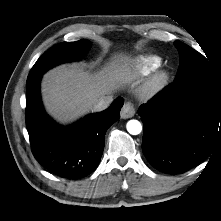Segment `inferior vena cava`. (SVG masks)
I'll list each match as a JSON object with an SVG mask.
<instances>
[{"label": "inferior vena cava", "instance_id": "1", "mask_svg": "<svg viewBox=\"0 0 221 221\" xmlns=\"http://www.w3.org/2000/svg\"><path fill=\"white\" fill-rule=\"evenodd\" d=\"M112 101H113L112 96H104L99 98L98 101L93 106V111L100 112L107 109Z\"/></svg>", "mask_w": 221, "mask_h": 221}]
</instances>
